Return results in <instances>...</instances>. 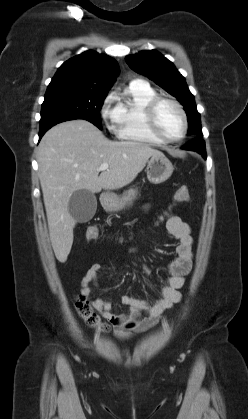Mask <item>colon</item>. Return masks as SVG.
<instances>
[{"label":"colon","mask_w":248,"mask_h":419,"mask_svg":"<svg viewBox=\"0 0 248 419\" xmlns=\"http://www.w3.org/2000/svg\"><path fill=\"white\" fill-rule=\"evenodd\" d=\"M190 199V193L187 187H180L175 193V201L178 203H186ZM86 234L93 239L99 238V231L96 227L88 228ZM76 309L78 314L84 319L86 324L100 332H107L108 326L101 322L99 317L94 313L89 302L81 297L76 302Z\"/></svg>","instance_id":"1"}]
</instances>
